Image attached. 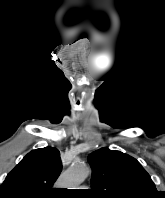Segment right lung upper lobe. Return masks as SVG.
<instances>
[{"label": "right lung upper lobe", "mask_w": 165, "mask_h": 198, "mask_svg": "<svg viewBox=\"0 0 165 198\" xmlns=\"http://www.w3.org/2000/svg\"><path fill=\"white\" fill-rule=\"evenodd\" d=\"M61 168L60 154L56 148L33 150L7 175L0 186V195L46 198L53 194L52 186Z\"/></svg>", "instance_id": "cb5924a9"}]
</instances>
